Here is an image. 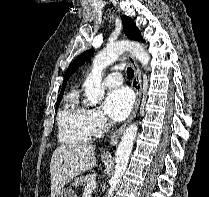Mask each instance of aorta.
<instances>
[{
    "label": "aorta",
    "instance_id": "762f6f07",
    "mask_svg": "<svg viewBox=\"0 0 209 197\" xmlns=\"http://www.w3.org/2000/svg\"><path fill=\"white\" fill-rule=\"evenodd\" d=\"M125 51L131 52L143 66L147 67L150 56L145 48L138 42L118 41L108 45L103 51L99 52L93 61L91 73L87 76L84 87L88 105L94 106L104 97V89L101 86L103 70L115 62ZM138 126L133 123L126 128L115 153V170L110 178V188L105 197H112L116 187L119 185L122 176L127 168L130 154L132 152L134 140L137 134Z\"/></svg>",
    "mask_w": 209,
    "mask_h": 197
}]
</instances>
